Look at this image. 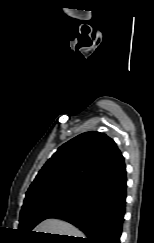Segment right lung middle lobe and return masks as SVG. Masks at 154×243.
I'll list each match as a JSON object with an SVG mask.
<instances>
[{"label":"right lung middle lobe","mask_w":154,"mask_h":243,"mask_svg":"<svg viewBox=\"0 0 154 243\" xmlns=\"http://www.w3.org/2000/svg\"><path fill=\"white\" fill-rule=\"evenodd\" d=\"M86 200L75 196L52 195L24 202L20 213L19 231L23 235L30 234L41 221L83 205Z\"/></svg>","instance_id":"dd1d6c3e"}]
</instances>
